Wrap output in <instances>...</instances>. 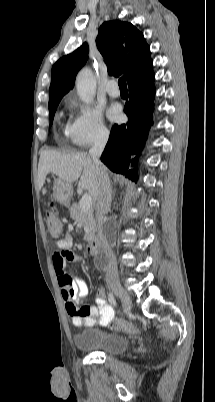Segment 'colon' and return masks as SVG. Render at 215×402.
I'll list each match as a JSON object with an SVG mask.
<instances>
[{
  "label": "colon",
  "instance_id": "obj_1",
  "mask_svg": "<svg viewBox=\"0 0 215 402\" xmlns=\"http://www.w3.org/2000/svg\"><path fill=\"white\" fill-rule=\"evenodd\" d=\"M47 226L51 234L58 235L60 233V224L58 222L53 204H49L46 212ZM111 327L115 330H121L129 334H136L137 328L130 322L116 319L111 322Z\"/></svg>",
  "mask_w": 215,
  "mask_h": 402
}]
</instances>
